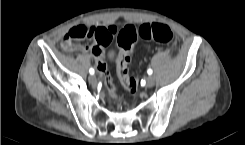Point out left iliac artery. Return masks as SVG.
<instances>
[{"mask_svg": "<svg viewBox=\"0 0 245 145\" xmlns=\"http://www.w3.org/2000/svg\"><path fill=\"white\" fill-rule=\"evenodd\" d=\"M147 73H148L149 75H151V74L153 73L152 69L149 68V69L147 70Z\"/></svg>", "mask_w": 245, "mask_h": 145, "instance_id": "1", "label": "left iliac artery"}]
</instances>
